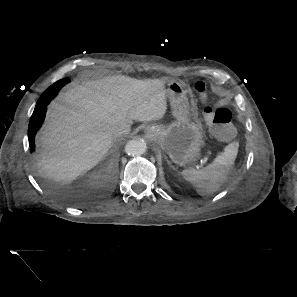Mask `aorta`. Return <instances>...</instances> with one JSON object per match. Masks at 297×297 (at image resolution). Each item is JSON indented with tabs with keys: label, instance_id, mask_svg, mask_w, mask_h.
I'll use <instances>...</instances> for the list:
<instances>
[{
	"label": "aorta",
	"instance_id": "1",
	"mask_svg": "<svg viewBox=\"0 0 297 297\" xmlns=\"http://www.w3.org/2000/svg\"><path fill=\"white\" fill-rule=\"evenodd\" d=\"M147 146L144 140H130L125 145V152L129 156H140L146 152Z\"/></svg>",
	"mask_w": 297,
	"mask_h": 297
}]
</instances>
